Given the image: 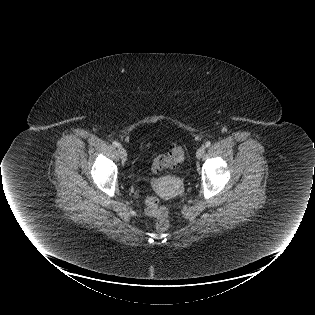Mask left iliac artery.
I'll return each instance as SVG.
<instances>
[{
    "mask_svg": "<svg viewBox=\"0 0 315 315\" xmlns=\"http://www.w3.org/2000/svg\"><path fill=\"white\" fill-rule=\"evenodd\" d=\"M211 145V142L210 141H207L206 143H205V146L206 147H209Z\"/></svg>",
    "mask_w": 315,
    "mask_h": 315,
    "instance_id": "1",
    "label": "left iliac artery"
}]
</instances>
